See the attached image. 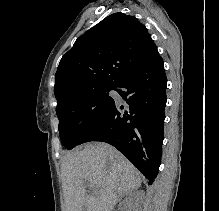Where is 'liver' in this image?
I'll use <instances>...</instances> for the list:
<instances>
[{
  "instance_id": "liver-1",
  "label": "liver",
  "mask_w": 219,
  "mask_h": 211,
  "mask_svg": "<svg viewBox=\"0 0 219 211\" xmlns=\"http://www.w3.org/2000/svg\"><path fill=\"white\" fill-rule=\"evenodd\" d=\"M61 171L67 211H113L124 193L142 183L137 167L108 143H86L84 149L68 151ZM88 179L97 193H87Z\"/></svg>"
}]
</instances>
